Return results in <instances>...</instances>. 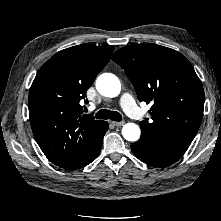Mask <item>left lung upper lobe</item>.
Wrapping results in <instances>:
<instances>
[{
	"label": "left lung upper lobe",
	"mask_w": 221,
	"mask_h": 221,
	"mask_svg": "<svg viewBox=\"0 0 221 221\" xmlns=\"http://www.w3.org/2000/svg\"><path fill=\"white\" fill-rule=\"evenodd\" d=\"M112 59L126 72L138 99L152 103L151 121L142 131L190 144L203 117L204 90L190 62L179 52L156 44L129 45Z\"/></svg>",
	"instance_id": "obj_1"
}]
</instances>
